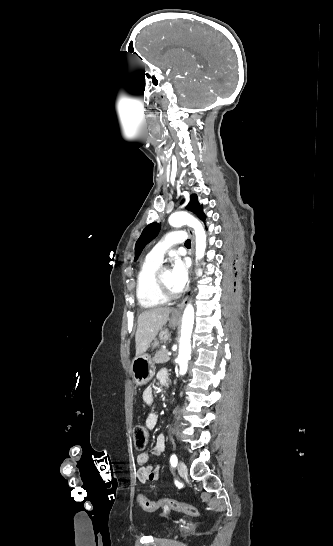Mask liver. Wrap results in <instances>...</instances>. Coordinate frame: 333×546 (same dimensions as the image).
Returning <instances> with one entry per match:
<instances>
[{
  "label": "liver",
  "instance_id": "1",
  "mask_svg": "<svg viewBox=\"0 0 333 546\" xmlns=\"http://www.w3.org/2000/svg\"><path fill=\"white\" fill-rule=\"evenodd\" d=\"M171 309L157 307L143 311L137 320V331L135 335L136 356L144 354L152 341L155 340L158 332L167 323Z\"/></svg>",
  "mask_w": 333,
  "mask_h": 546
}]
</instances>
